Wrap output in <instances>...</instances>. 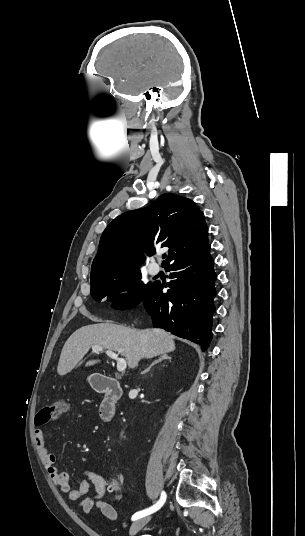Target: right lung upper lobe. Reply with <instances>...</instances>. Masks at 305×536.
Listing matches in <instances>:
<instances>
[{
	"mask_svg": "<svg viewBox=\"0 0 305 536\" xmlns=\"http://www.w3.org/2000/svg\"><path fill=\"white\" fill-rule=\"evenodd\" d=\"M208 244V228L199 208L188 198L166 193L142 209L116 217L104 230L92 263L91 282L139 270L143 250L168 247L162 266L194 254Z\"/></svg>",
	"mask_w": 305,
	"mask_h": 536,
	"instance_id": "obj_1",
	"label": "right lung upper lobe"
}]
</instances>
